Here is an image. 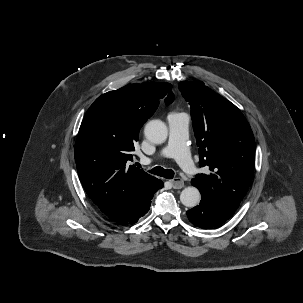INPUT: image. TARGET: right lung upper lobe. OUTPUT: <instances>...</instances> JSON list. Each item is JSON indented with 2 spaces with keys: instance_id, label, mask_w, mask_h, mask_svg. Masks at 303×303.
<instances>
[{
  "instance_id": "obj_1",
  "label": "right lung upper lobe",
  "mask_w": 303,
  "mask_h": 303,
  "mask_svg": "<svg viewBox=\"0 0 303 303\" xmlns=\"http://www.w3.org/2000/svg\"><path fill=\"white\" fill-rule=\"evenodd\" d=\"M166 82L132 84L98 97L88 109L75 143V162L85 192L112 216L136 200L157 178L130 165L139 130L159 100L172 103Z\"/></svg>"
}]
</instances>
